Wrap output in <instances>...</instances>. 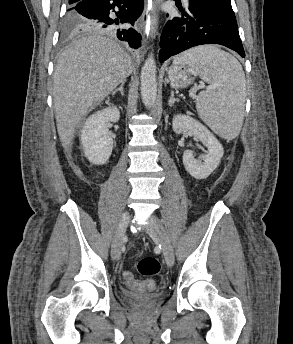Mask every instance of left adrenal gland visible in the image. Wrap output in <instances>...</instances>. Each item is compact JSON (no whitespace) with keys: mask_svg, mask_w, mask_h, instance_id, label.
I'll list each match as a JSON object with an SVG mask.
<instances>
[{"mask_svg":"<svg viewBox=\"0 0 293 344\" xmlns=\"http://www.w3.org/2000/svg\"><path fill=\"white\" fill-rule=\"evenodd\" d=\"M175 102H179V99L174 98V92L172 91L169 99V106H173Z\"/></svg>","mask_w":293,"mask_h":344,"instance_id":"left-adrenal-gland-1","label":"left adrenal gland"}]
</instances>
